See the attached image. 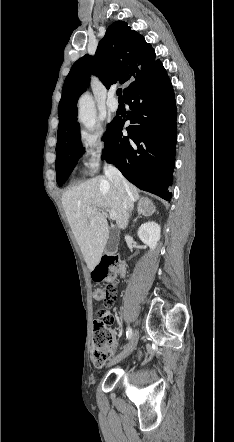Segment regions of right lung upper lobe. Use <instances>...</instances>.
Masks as SVG:
<instances>
[{
    "label": "right lung upper lobe",
    "instance_id": "right-lung-upper-lobe-1",
    "mask_svg": "<svg viewBox=\"0 0 234 442\" xmlns=\"http://www.w3.org/2000/svg\"><path fill=\"white\" fill-rule=\"evenodd\" d=\"M160 64L155 52L139 33L126 22L110 25L99 42L95 56L85 55L77 60L67 75L59 102V126L56 148L65 144L79 129L76 103L86 90L91 73L97 75L109 88L111 84L137 80ZM128 88H125L123 94Z\"/></svg>",
    "mask_w": 234,
    "mask_h": 442
}]
</instances>
